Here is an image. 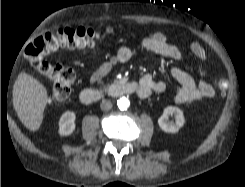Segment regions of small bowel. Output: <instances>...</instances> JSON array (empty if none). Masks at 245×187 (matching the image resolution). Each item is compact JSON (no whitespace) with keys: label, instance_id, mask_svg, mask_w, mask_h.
<instances>
[{"label":"small bowel","instance_id":"1","mask_svg":"<svg viewBox=\"0 0 245 187\" xmlns=\"http://www.w3.org/2000/svg\"><path fill=\"white\" fill-rule=\"evenodd\" d=\"M140 45L145 50L156 53L164 58L172 60H182L183 54L178 46L162 33H151L141 39ZM188 46L191 52L202 62L207 60L204 48L195 40H189ZM133 51L130 46L120 47L106 62H104L90 78L92 85L98 84L110 73L118 64L130 61ZM171 77L180 85L179 90L174 95L173 100L179 105H189L196 101L212 98L215 94L213 87L206 81V73L200 69L198 79L195 80L189 73L178 68L170 69ZM140 90L139 96L148 97L152 92H162L166 88L164 81L156 80L150 74L142 76L138 82Z\"/></svg>","mask_w":245,"mask_h":187}]
</instances>
